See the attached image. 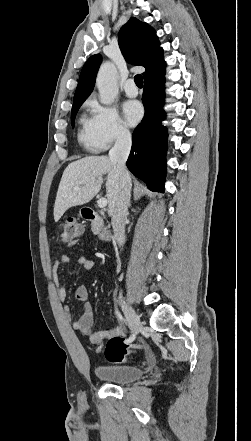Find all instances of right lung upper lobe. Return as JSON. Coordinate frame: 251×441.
Masks as SVG:
<instances>
[{"label": "right lung upper lobe", "mask_w": 251, "mask_h": 441, "mask_svg": "<svg viewBox=\"0 0 251 441\" xmlns=\"http://www.w3.org/2000/svg\"><path fill=\"white\" fill-rule=\"evenodd\" d=\"M118 42L127 62L145 67L144 79L165 68L163 49L155 30L148 24L131 17L120 29ZM101 61V55L96 54L84 64L73 102L86 100L91 94Z\"/></svg>", "instance_id": "obj_1"}]
</instances>
